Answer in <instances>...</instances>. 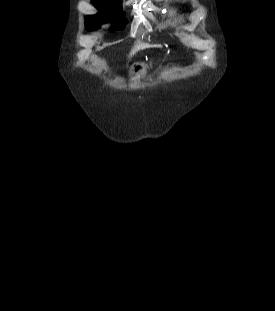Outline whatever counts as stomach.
<instances>
[{"label": "stomach", "instance_id": "1", "mask_svg": "<svg viewBox=\"0 0 275 311\" xmlns=\"http://www.w3.org/2000/svg\"><path fill=\"white\" fill-rule=\"evenodd\" d=\"M146 66L144 63H135L129 70V80L131 85H136L142 76L145 75Z\"/></svg>", "mask_w": 275, "mask_h": 311}]
</instances>
